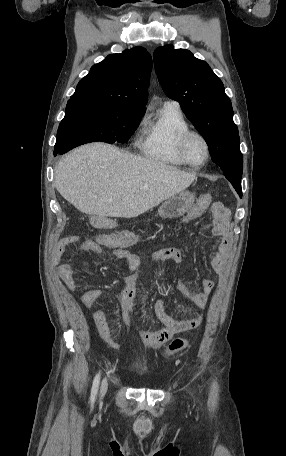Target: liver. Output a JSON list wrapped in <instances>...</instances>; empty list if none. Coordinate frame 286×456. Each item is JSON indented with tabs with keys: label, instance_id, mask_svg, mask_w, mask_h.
Returning a JSON list of instances; mask_svg holds the SVG:
<instances>
[{
	"label": "liver",
	"instance_id": "6515ba94",
	"mask_svg": "<svg viewBox=\"0 0 286 456\" xmlns=\"http://www.w3.org/2000/svg\"><path fill=\"white\" fill-rule=\"evenodd\" d=\"M195 172L123 152L104 143L83 145L55 169V187L79 211L103 217H137L184 191Z\"/></svg>",
	"mask_w": 286,
	"mask_h": 456
}]
</instances>
